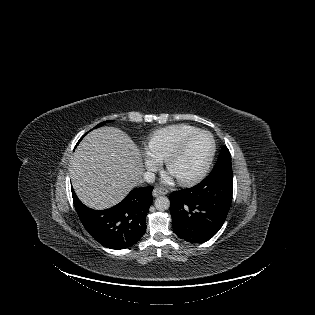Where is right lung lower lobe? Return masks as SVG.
<instances>
[{
	"mask_svg": "<svg viewBox=\"0 0 315 315\" xmlns=\"http://www.w3.org/2000/svg\"><path fill=\"white\" fill-rule=\"evenodd\" d=\"M153 187L133 189L116 206L107 210L86 207L72 190L77 214L90 235L111 249H125L135 244L145 233L146 215L152 203Z\"/></svg>",
	"mask_w": 315,
	"mask_h": 315,
	"instance_id": "98d812e1",
	"label": "right lung lower lobe"
}]
</instances>
